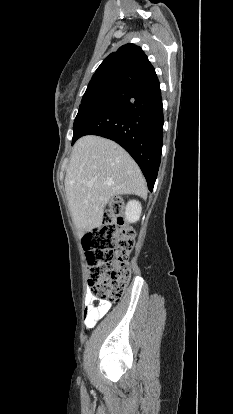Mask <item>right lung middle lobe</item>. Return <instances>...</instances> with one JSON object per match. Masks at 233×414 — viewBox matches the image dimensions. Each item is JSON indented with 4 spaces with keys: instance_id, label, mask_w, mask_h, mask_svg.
Segmentation results:
<instances>
[{
    "instance_id": "obj_1",
    "label": "right lung middle lobe",
    "mask_w": 233,
    "mask_h": 414,
    "mask_svg": "<svg viewBox=\"0 0 233 414\" xmlns=\"http://www.w3.org/2000/svg\"><path fill=\"white\" fill-rule=\"evenodd\" d=\"M133 81L119 76H104L91 80L85 94L83 95L78 114L74 121V133L72 144L77 139V130L84 117L95 107L113 98L121 95L131 85Z\"/></svg>"
}]
</instances>
